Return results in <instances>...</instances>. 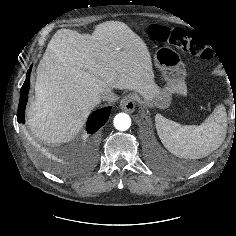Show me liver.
I'll return each instance as SVG.
<instances>
[{
  "mask_svg": "<svg viewBox=\"0 0 236 236\" xmlns=\"http://www.w3.org/2000/svg\"><path fill=\"white\" fill-rule=\"evenodd\" d=\"M147 45L121 21H106L92 34L60 29L37 67L36 99L27 110L34 136L47 143L71 140L111 89L154 91Z\"/></svg>",
  "mask_w": 236,
  "mask_h": 236,
  "instance_id": "1",
  "label": "liver"
}]
</instances>
